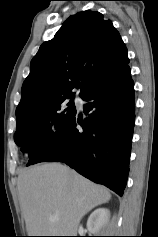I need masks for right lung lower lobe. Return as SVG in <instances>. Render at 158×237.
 Listing matches in <instances>:
<instances>
[{
	"label": "right lung lower lobe",
	"mask_w": 158,
	"mask_h": 237,
	"mask_svg": "<svg viewBox=\"0 0 158 237\" xmlns=\"http://www.w3.org/2000/svg\"><path fill=\"white\" fill-rule=\"evenodd\" d=\"M134 82L128 64L92 87L84 121L75 115L30 158L27 165L64 162L86 178L118 195L126 186L135 120ZM81 125L82 129L77 126Z\"/></svg>",
	"instance_id": "1"
}]
</instances>
